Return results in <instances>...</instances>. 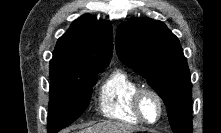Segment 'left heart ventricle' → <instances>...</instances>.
Instances as JSON below:
<instances>
[{
	"label": "left heart ventricle",
	"instance_id": "obj_1",
	"mask_svg": "<svg viewBox=\"0 0 221 133\" xmlns=\"http://www.w3.org/2000/svg\"><path fill=\"white\" fill-rule=\"evenodd\" d=\"M142 107L147 119H149L150 121H154L157 119L159 115V107L156 100L153 97L146 96L143 99Z\"/></svg>",
	"mask_w": 221,
	"mask_h": 133
}]
</instances>
